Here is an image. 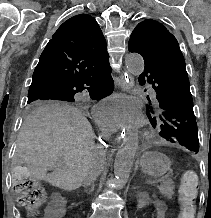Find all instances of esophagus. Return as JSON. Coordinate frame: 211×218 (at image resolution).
Segmentation results:
<instances>
[{"instance_id":"esophagus-1","label":"esophagus","mask_w":211,"mask_h":218,"mask_svg":"<svg viewBox=\"0 0 211 218\" xmlns=\"http://www.w3.org/2000/svg\"><path fill=\"white\" fill-rule=\"evenodd\" d=\"M125 77V78H124ZM134 84V81L132 79L131 76H129V72H122V76H120L118 82H117V86L118 88L120 89L121 92H127L128 94H130L132 91H131V86H133ZM119 131H124L126 128H128L130 125L128 123H126L124 125V123H119ZM126 128H125V127ZM126 132H113V137H117V143H123V138L122 137H125L124 139L126 141H128L130 138L128 136H126Z\"/></svg>"}]
</instances>
